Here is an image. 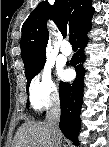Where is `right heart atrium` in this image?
<instances>
[{
	"label": "right heart atrium",
	"mask_w": 109,
	"mask_h": 147,
	"mask_svg": "<svg viewBox=\"0 0 109 147\" xmlns=\"http://www.w3.org/2000/svg\"><path fill=\"white\" fill-rule=\"evenodd\" d=\"M30 99L36 108H46L58 99V90L49 67H44L32 80Z\"/></svg>",
	"instance_id": "d8ad5b80"
}]
</instances>
